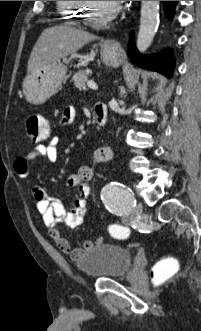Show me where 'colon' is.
<instances>
[{
    "mask_svg": "<svg viewBox=\"0 0 201 331\" xmlns=\"http://www.w3.org/2000/svg\"><path fill=\"white\" fill-rule=\"evenodd\" d=\"M26 132L30 141L44 142L49 138L50 126L47 120L38 114H32L26 121ZM110 234L116 239H125L129 236V229L122 225H112ZM179 272V263L174 258H164L152 267L151 279L155 287H162L169 283Z\"/></svg>",
    "mask_w": 201,
    "mask_h": 331,
    "instance_id": "5ec220e1",
    "label": "colon"
}]
</instances>
